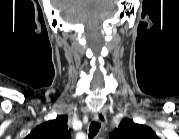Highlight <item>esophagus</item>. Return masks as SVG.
Segmentation results:
<instances>
[{
  "mask_svg": "<svg viewBox=\"0 0 179 139\" xmlns=\"http://www.w3.org/2000/svg\"><path fill=\"white\" fill-rule=\"evenodd\" d=\"M94 120L101 124H104L106 122V116H105L104 112L95 113Z\"/></svg>",
  "mask_w": 179,
  "mask_h": 139,
  "instance_id": "1",
  "label": "esophagus"
}]
</instances>
